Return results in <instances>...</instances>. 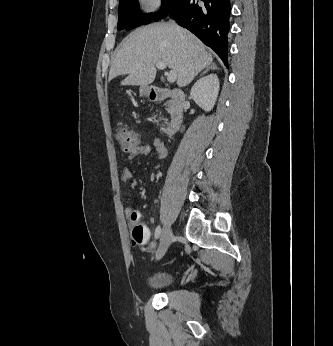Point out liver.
Segmentation results:
<instances>
[{
    "label": "liver",
    "mask_w": 333,
    "mask_h": 346,
    "mask_svg": "<svg viewBox=\"0 0 333 346\" xmlns=\"http://www.w3.org/2000/svg\"><path fill=\"white\" fill-rule=\"evenodd\" d=\"M213 61L204 44L188 30L174 23H155L129 34L121 43L108 80L128 75L121 85L147 87L156 77L155 65L163 62L177 74L184 87Z\"/></svg>",
    "instance_id": "liver-1"
}]
</instances>
